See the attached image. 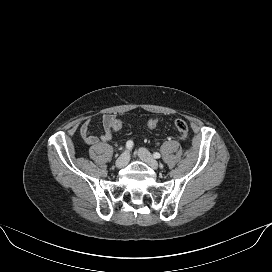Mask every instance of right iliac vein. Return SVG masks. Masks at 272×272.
I'll return each mask as SVG.
<instances>
[{
  "label": "right iliac vein",
  "instance_id": "obj_1",
  "mask_svg": "<svg viewBox=\"0 0 272 272\" xmlns=\"http://www.w3.org/2000/svg\"><path fill=\"white\" fill-rule=\"evenodd\" d=\"M129 161V153L128 152H124L123 154H121V156L116 160V167L117 168H123L128 164Z\"/></svg>",
  "mask_w": 272,
  "mask_h": 272
}]
</instances>
